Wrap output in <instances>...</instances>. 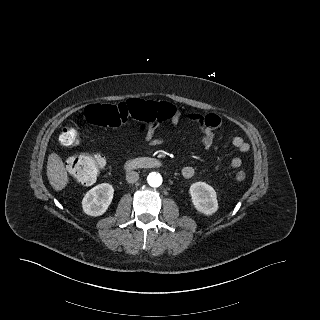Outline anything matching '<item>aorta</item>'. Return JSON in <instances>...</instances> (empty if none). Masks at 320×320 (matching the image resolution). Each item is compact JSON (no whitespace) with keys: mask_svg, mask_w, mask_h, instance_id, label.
Returning a JSON list of instances; mask_svg holds the SVG:
<instances>
[{"mask_svg":"<svg viewBox=\"0 0 320 320\" xmlns=\"http://www.w3.org/2000/svg\"><path fill=\"white\" fill-rule=\"evenodd\" d=\"M147 181L151 187H159L162 184V176L159 173L151 172L147 177Z\"/></svg>","mask_w":320,"mask_h":320,"instance_id":"762f6f07","label":"aorta"}]
</instances>
